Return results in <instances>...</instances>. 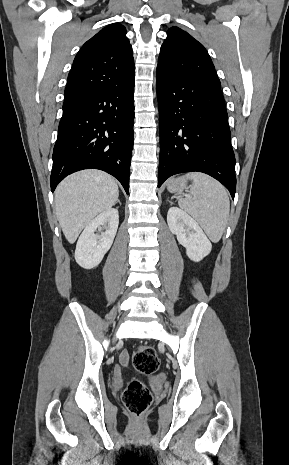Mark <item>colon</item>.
<instances>
[{
    "label": "colon",
    "instance_id": "5ec220e1",
    "mask_svg": "<svg viewBox=\"0 0 289 465\" xmlns=\"http://www.w3.org/2000/svg\"><path fill=\"white\" fill-rule=\"evenodd\" d=\"M133 365L140 373L153 374L159 369L160 360L153 347L144 345L134 352ZM122 398L127 409L134 415L142 414L152 401L148 387L136 379L128 382Z\"/></svg>",
    "mask_w": 289,
    "mask_h": 465
}]
</instances>
